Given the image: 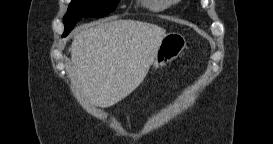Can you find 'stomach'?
<instances>
[{"label":"stomach","mask_w":273,"mask_h":144,"mask_svg":"<svg viewBox=\"0 0 273 144\" xmlns=\"http://www.w3.org/2000/svg\"><path fill=\"white\" fill-rule=\"evenodd\" d=\"M185 48L186 39L183 35L176 32L166 34L155 55L153 68L156 70L164 67L167 63L179 57Z\"/></svg>","instance_id":"obj_1"}]
</instances>
